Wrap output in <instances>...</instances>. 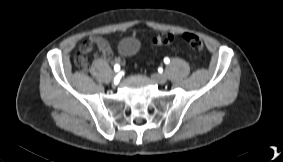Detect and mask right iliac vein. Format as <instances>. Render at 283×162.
<instances>
[{"instance_id":"obj_1","label":"right iliac vein","mask_w":283,"mask_h":162,"mask_svg":"<svg viewBox=\"0 0 283 162\" xmlns=\"http://www.w3.org/2000/svg\"><path fill=\"white\" fill-rule=\"evenodd\" d=\"M118 76V73L117 72H112L111 73V78L113 79V78H116Z\"/></svg>"}]
</instances>
